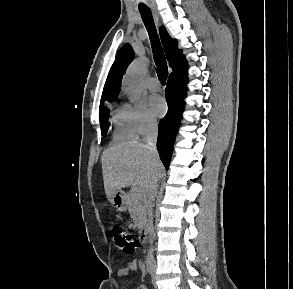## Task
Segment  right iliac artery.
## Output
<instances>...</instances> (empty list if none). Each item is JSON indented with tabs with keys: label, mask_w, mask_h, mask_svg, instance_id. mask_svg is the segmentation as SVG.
Segmentation results:
<instances>
[{
	"label": "right iliac artery",
	"mask_w": 293,
	"mask_h": 289,
	"mask_svg": "<svg viewBox=\"0 0 293 289\" xmlns=\"http://www.w3.org/2000/svg\"><path fill=\"white\" fill-rule=\"evenodd\" d=\"M146 272L149 274L152 272V260L150 258L146 259Z\"/></svg>",
	"instance_id": "right-iliac-artery-1"
}]
</instances>
